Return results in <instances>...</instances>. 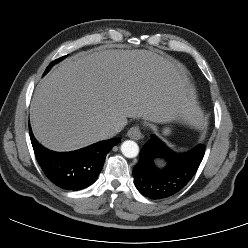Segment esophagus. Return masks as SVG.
<instances>
[{"instance_id": "1", "label": "esophagus", "mask_w": 248, "mask_h": 248, "mask_svg": "<svg viewBox=\"0 0 248 248\" xmlns=\"http://www.w3.org/2000/svg\"><path fill=\"white\" fill-rule=\"evenodd\" d=\"M127 136L131 139L139 140L142 138V133L138 126H133L128 130Z\"/></svg>"}]
</instances>
